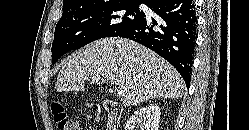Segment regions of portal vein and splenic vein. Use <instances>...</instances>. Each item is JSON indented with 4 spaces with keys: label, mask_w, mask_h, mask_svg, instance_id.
<instances>
[{
    "label": "portal vein and splenic vein",
    "mask_w": 249,
    "mask_h": 130,
    "mask_svg": "<svg viewBox=\"0 0 249 130\" xmlns=\"http://www.w3.org/2000/svg\"><path fill=\"white\" fill-rule=\"evenodd\" d=\"M93 80H94V81H97V79H93ZM125 91H126L125 87H119L118 90H117V94H118L119 96H124Z\"/></svg>",
    "instance_id": "18ae733b"
}]
</instances>
